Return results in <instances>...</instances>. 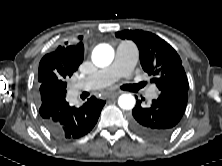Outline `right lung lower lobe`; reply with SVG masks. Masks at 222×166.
I'll use <instances>...</instances> for the list:
<instances>
[{
    "label": "right lung lower lobe",
    "instance_id": "right-lung-lower-lobe-1",
    "mask_svg": "<svg viewBox=\"0 0 222 166\" xmlns=\"http://www.w3.org/2000/svg\"><path fill=\"white\" fill-rule=\"evenodd\" d=\"M39 113L44 126L59 140L80 138L95 126L105 101L92 96L80 107L66 101V88L54 83L39 84Z\"/></svg>",
    "mask_w": 222,
    "mask_h": 166
}]
</instances>
